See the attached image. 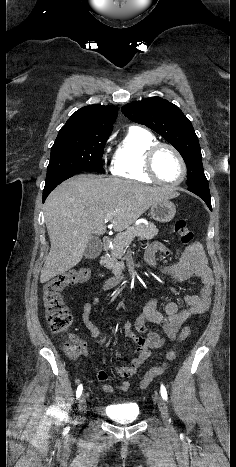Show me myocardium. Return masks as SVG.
Returning <instances> with one entry per match:
<instances>
[{"instance_id": "f54148a6", "label": "myocardium", "mask_w": 236, "mask_h": 467, "mask_svg": "<svg viewBox=\"0 0 236 467\" xmlns=\"http://www.w3.org/2000/svg\"><path fill=\"white\" fill-rule=\"evenodd\" d=\"M162 149H169L170 151H172L176 155V157L178 158L181 164L182 175L180 179L176 182H166L162 180L156 171V165H155L156 158H157L158 153ZM145 170L147 174L149 175V177L153 179V181L161 185L168 186V187H175V186L182 184L187 176V165L182 154L178 151L177 148H175L173 145L168 144V143L158 142L148 148V150L146 151V156H145Z\"/></svg>"}]
</instances>
